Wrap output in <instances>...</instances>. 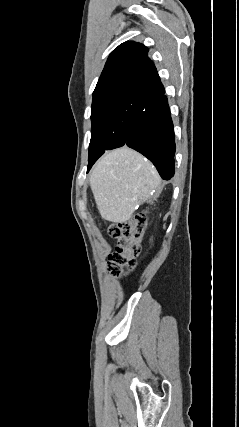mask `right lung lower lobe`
Instances as JSON below:
<instances>
[{
	"label": "right lung lower lobe",
	"instance_id": "obj_1",
	"mask_svg": "<svg viewBox=\"0 0 239 427\" xmlns=\"http://www.w3.org/2000/svg\"><path fill=\"white\" fill-rule=\"evenodd\" d=\"M165 91L146 99V106L135 118L127 139L128 146L148 158L164 180L174 175L175 137ZM121 147V146H120Z\"/></svg>",
	"mask_w": 239,
	"mask_h": 427
}]
</instances>
